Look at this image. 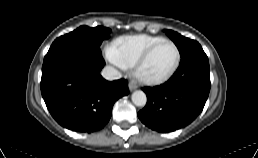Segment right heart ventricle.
<instances>
[{
    "label": "right heart ventricle",
    "instance_id": "obj_1",
    "mask_svg": "<svg viewBox=\"0 0 258 158\" xmlns=\"http://www.w3.org/2000/svg\"><path fill=\"white\" fill-rule=\"evenodd\" d=\"M162 39L163 37L147 35L128 36L119 39L112 47L126 67H133L151 46Z\"/></svg>",
    "mask_w": 258,
    "mask_h": 158
}]
</instances>
